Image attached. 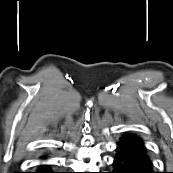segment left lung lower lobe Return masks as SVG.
Returning a JSON list of instances; mask_svg holds the SVG:
<instances>
[{
  "instance_id": "left-lung-lower-lobe-1",
  "label": "left lung lower lobe",
  "mask_w": 173,
  "mask_h": 173,
  "mask_svg": "<svg viewBox=\"0 0 173 173\" xmlns=\"http://www.w3.org/2000/svg\"><path fill=\"white\" fill-rule=\"evenodd\" d=\"M111 173H155L145 146L118 142Z\"/></svg>"
}]
</instances>
